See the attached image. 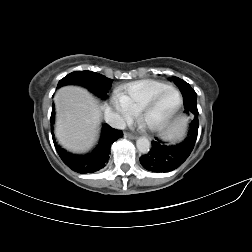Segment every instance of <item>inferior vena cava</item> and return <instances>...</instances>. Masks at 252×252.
<instances>
[{
    "label": "inferior vena cava",
    "instance_id": "obj_1",
    "mask_svg": "<svg viewBox=\"0 0 252 252\" xmlns=\"http://www.w3.org/2000/svg\"><path fill=\"white\" fill-rule=\"evenodd\" d=\"M105 120L113 128L117 129L126 128V123L124 119L117 113L112 112L109 107L105 109Z\"/></svg>",
    "mask_w": 252,
    "mask_h": 252
}]
</instances>
